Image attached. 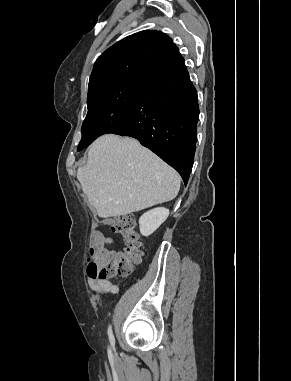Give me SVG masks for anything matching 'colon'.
Returning <instances> with one entry per match:
<instances>
[{
  "instance_id": "colon-1",
  "label": "colon",
  "mask_w": 291,
  "mask_h": 381,
  "mask_svg": "<svg viewBox=\"0 0 291 381\" xmlns=\"http://www.w3.org/2000/svg\"><path fill=\"white\" fill-rule=\"evenodd\" d=\"M112 232L123 239V248L112 251L101 247L91 251L87 273L90 277L106 279L110 276H128L144 256L143 244L135 230L131 216L113 217L104 221Z\"/></svg>"
}]
</instances>
